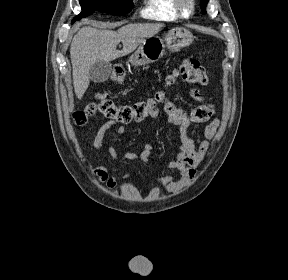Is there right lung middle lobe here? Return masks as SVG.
I'll use <instances>...</instances> for the list:
<instances>
[{"instance_id":"dd1d6c3e","label":"right lung middle lobe","mask_w":288,"mask_h":280,"mask_svg":"<svg viewBox=\"0 0 288 280\" xmlns=\"http://www.w3.org/2000/svg\"><path fill=\"white\" fill-rule=\"evenodd\" d=\"M79 2L82 12L74 18L73 22L94 12L124 15L133 7L131 0H79Z\"/></svg>"}]
</instances>
